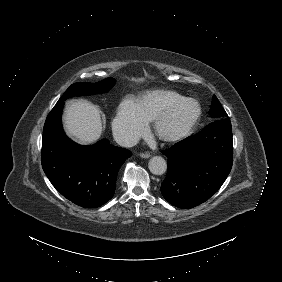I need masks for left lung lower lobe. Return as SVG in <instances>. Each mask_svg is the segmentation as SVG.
<instances>
[{
  "label": "left lung lower lobe",
  "instance_id": "left-lung-lower-lobe-1",
  "mask_svg": "<svg viewBox=\"0 0 282 282\" xmlns=\"http://www.w3.org/2000/svg\"><path fill=\"white\" fill-rule=\"evenodd\" d=\"M232 144L231 123L225 117L163 151L168 157L167 176L161 185L164 198L179 208L208 200L230 173Z\"/></svg>",
  "mask_w": 282,
  "mask_h": 282
}]
</instances>
